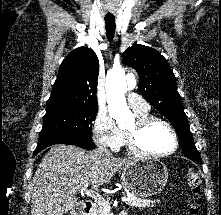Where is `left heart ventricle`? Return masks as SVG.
Masks as SVG:
<instances>
[{"label":"left heart ventricle","instance_id":"1","mask_svg":"<svg viewBox=\"0 0 221 215\" xmlns=\"http://www.w3.org/2000/svg\"><path fill=\"white\" fill-rule=\"evenodd\" d=\"M135 122L128 128L133 129ZM142 147L153 153H165L173 148V137L168 128L161 123L151 124L140 136Z\"/></svg>","mask_w":221,"mask_h":215}]
</instances>
